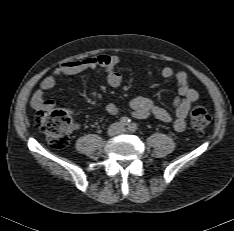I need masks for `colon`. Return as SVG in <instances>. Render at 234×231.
<instances>
[{
  "label": "colon",
  "mask_w": 234,
  "mask_h": 231,
  "mask_svg": "<svg viewBox=\"0 0 234 231\" xmlns=\"http://www.w3.org/2000/svg\"><path fill=\"white\" fill-rule=\"evenodd\" d=\"M210 120L208 111L202 106L194 107L190 113L191 126L196 130H204ZM72 123V113L67 108L41 110L36 116L38 128L45 133L49 144L58 149L67 146Z\"/></svg>",
  "instance_id": "1"
}]
</instances>
